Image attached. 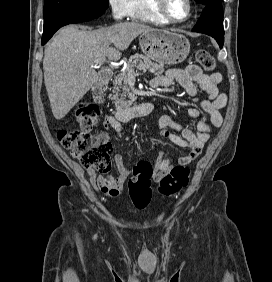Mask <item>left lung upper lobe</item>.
Segmentation results:
<instances>
[{"label":"left lung upper lobe","instance_id":"left-lung-upper-lobe-1","mask_svg":"<svg viewBox=\"0 0 272 282\" xmlns=\"http://www.w3.org/2000/svg\"><path fill=\"white\" fill-rule=\"evenodd\" d=\"M197 3L202 5H209V4H221L222 0H195Z\"/></svg>","mask_w":272,"mask_h":282}]
</instances>
